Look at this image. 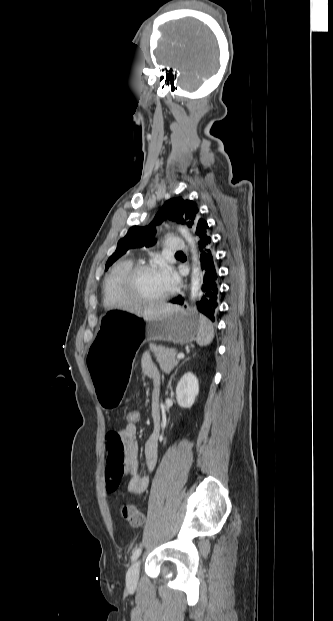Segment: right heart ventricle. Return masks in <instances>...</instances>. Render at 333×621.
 I'll list each match as a JSON object with an SVG mask.
<instances>
[{
	"instance_id": "right-heart-ventricle-1",
	"label": "right heart ventricle",
	"mask_w": 333,
	"mask_h": 621,
	"mask_svg": "<svg viewBox=\"0 0 333 621\" xmlns=\"http://www.w3.org/2000/svg\"><path fill=\"white\" fill-rule=\"evenodd\" d=\"M132 266L133 263L131 260H122L116 263L106 276L102 290V300L106 307H117L124 305V302L119 295L118 284L124 273Z\"/></svg>"
}]
</instances>
